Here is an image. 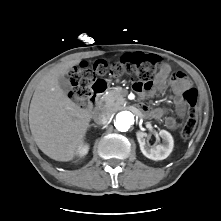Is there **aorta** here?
<instances>
[{"instance_id": "obj_1", "label": "aorta", "mask_w": 221, "mask_h": 221, "mask_svg": "<svg viewBox=\"0 0 221 221\" xmlns=\"http://www.w3.org/2000/svg\"><path fill=\"white\" fill-rule=\"evenodd\" d=\"M135 116L132 112L124 110L116 115L114 125L117 130L125 132L134 124Z\"/></svg>"}]
</instances>
